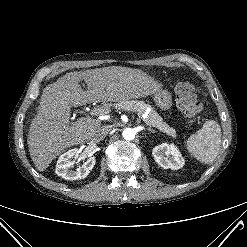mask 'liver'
Here are the masks:
<instances>
[{
	"instance_id": "6515ba94",
	"label": "liver",
	"mask_w": 247,
	"mask_h": 247,
	"mask_svg": "<svg viewBox=\"0 0 247 247\" xmlns=\"http://www.w3.org/2000/svg\"><path fill=\"white\" fill-rule=\"evenodd\" d=\"M81 80L87 84L86 91L80 86ZM157 89L158 84L141 70L121 66L70 72L48 85L27 137L35 167L44 171L65 149L83 143L100 127V121L92 118H79L71 123L72 106L136 99Z\"/></svg>"
}]
</instances>
